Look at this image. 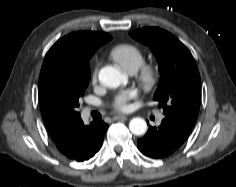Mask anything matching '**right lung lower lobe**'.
Masks as SVG:
<instances>
[{
    "label": "right lung lower lobe",
    "instance_id": "obj_1",
    "mask_svg": "<svg viewBox=\"0 0 236 187\" xmlns=\"http://www.w3.org/2000/svg\"><path fill=\"white\" fill-rule=\"evenodd\" d=\"M107 128L108 125L103 121L92 122L89 126H85L82 122L66 156L79 162L93 157L101 148Z\"/></svg>",
    "mask_w": 236,
    "mask_h": 187
}]
</instances>
